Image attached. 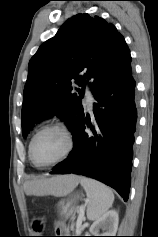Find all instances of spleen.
Masks as SVG:
<instances>
[{
  "label": "spleen",
  "instance_id": "3e777b00",
  "mask_svg": "<svg viewBox=\"0 0 158 237\" xmlns=\"http://www.w3.org/2000/svg\"><path fill=\"white\" fill-rule=\"evenodd\" d=\"M80 183L89 199L87 218L92 221L98 220L111 208L114 194L108 186L91 178L81 177Z\"/></svg>",
  "mask_w": 158,
  "mask_h": 237
}]
</instances>
